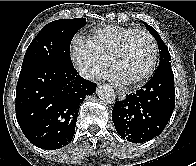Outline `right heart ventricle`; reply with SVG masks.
Segmentation results:
<instances>
[{"instance_id":"e07e8e85","label":"right heart ventricle","mask_w":196,"mask_h":166,"mask_svg":"<svg viewBox=\"0 0 196 166\" xmlns=\"http://www.w3.org/2000/svg\"><path fill=\"white\" fill-rule=\"evenodd\" d=\"M132 30L134 29L120 26H106L97 30L88 39V42L97 53L110 62L125 36Z\"/></svg>"}]
</instances>
